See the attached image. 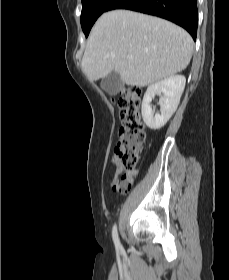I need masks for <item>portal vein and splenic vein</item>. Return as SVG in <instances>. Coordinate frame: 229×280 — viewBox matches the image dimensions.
I'll use <instances>...</instances> for the list:
<instances>
[{
    "label": "portal vein and splenic vein",
    "mask_w": 229,
    "mask_h": 280,
    "mask_svg": "<svg viewBox=\"0 0 229 280\" xmlns=\"http://www.w3.org/2000/svg\"><path fill=\"white\" fill-rule=\"evenodd\" d=\"M127 59H128V60H131V59H132V56H131V55H128V56H127Z\"/></svg>",
    "instance_id": "1"
}]
</instances>
